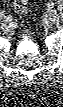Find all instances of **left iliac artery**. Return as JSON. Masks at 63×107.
I'll return each mask as SVG.
<instances>
[{"mask_svg": "<svg viewBox=\"0 0 63 107\" xmlns=\"http://www.w3.org/2000/svg\"><path fill=\"white\" fill-rule=\"evenodd\" d=\"M47 6H48L49 9H52V8L54 7V4H53L52 2H49V3L47 4Z\"/></svg>", "mask_w": 63, "mask_h": 107, "instance_id": "44dca946", "label": "left iliac artery"}]
</instances>
